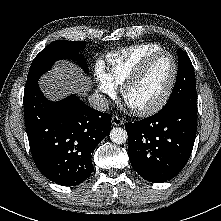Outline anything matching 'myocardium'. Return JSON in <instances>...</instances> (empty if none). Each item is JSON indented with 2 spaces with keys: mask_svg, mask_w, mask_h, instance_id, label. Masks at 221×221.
<instances>
[{
  "mask_svg": "<svg viewBox=\"0 0 221 221\" xmlns=\"http://www.w3.org/2000/svg\"><path fill=\"white\" fill-rule=\"evenodd\" d=\"M161 56H168L173 63V72L171 79L160 96L158 100H156L154 103H152L149 106L143 107V108H138V109H133V111L140 116H148L157 113L160 111L168 102L170 99L174 87L176 85L177 79H178V74H179V67L176 58L174 57L173 54H171L168 51L160 50L154 53H151L148 55L134 70L133 72L124 80V82L121 84L120 88V93L122 99L125 101L127 91L129 88L137 82V80L140 78V76L147 70V68L151 65V63L161 57Z\"/></svg>",
  "mask_w": 221,
  "mask_h": 221,
  "instance_id": "myocardium-1",
  "label": "myocardium"
}]
</instances>
